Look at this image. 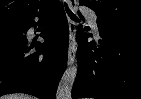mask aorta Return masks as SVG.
I'll return each mask as SVG.
<instances>
[{
  "instance_id": "aorta-1",
  "label": "aorta",
  "mask_w": 141,
  "mask_h": 99,
  "mask_svg": "<svg viewBox=\"0 0 141 99\" xmlns=\"http://www.w3.org/2000/svg\"><path fill=\"white\" fill-rule=\"evenodd\" d=\"M77 71V65H73L65 70L58 84L56 99H71L72 87Z\"/></svg>"
}]
</instances>
